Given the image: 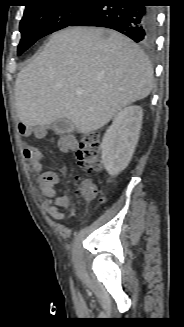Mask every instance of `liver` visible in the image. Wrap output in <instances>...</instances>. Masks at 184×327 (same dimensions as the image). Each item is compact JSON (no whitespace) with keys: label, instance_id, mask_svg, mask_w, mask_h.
Here are the masks:
<instances>
[{"label":"liver","instance_id":"liver-1","mask_svg":"<svg viewBox=\"0 0 184 327\" xmlns=\"http://www.w3.org/2000/svg\"><path fill=\"white\" fill-rule=\"evenodd\" d=\"M152 88L153 67L131 39L103 28L69 27L55 33L20 71L15 105L27 126L67 118L88 134Z\"/></svg>","mask_w":184,"mask_h":327}]
</instances>
